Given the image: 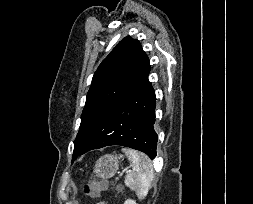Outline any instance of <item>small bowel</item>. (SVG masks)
Masks as SVG:
<instances>
[{
  "mask_svg": "<svg viewBox=\"0 0 253 204\" xmlns=\"http://www.w3.org/2000/svg\"><path fill=\"white\" fill-rule=\"evenodd\" d=\"M97 204H108V203L105 201H101V202H98Z\"/></svg>",
  "mask_w": 253,
  "mask_h": 204,
  "instance_id": "small-bowel-1",
  "label": "small bowel"
}]
</instances>
